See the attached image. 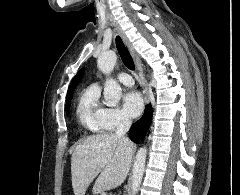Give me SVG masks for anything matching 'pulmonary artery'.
I'll use <instances>...</instances> for the list:
<instances>
[{
	"mask_svg": "<svg viewBox=\"0 0 240 195\" xmlns=\"http://www.w3.org/2000/svg\"><path fill=\"white\" fill-rule=\"evenodd\" d=\"M119 80L120 82L126 85H131L133 83V80L132 78H130V75H125L122 73L119 75Z\"/></svg>",
	"mask_w": 240,
	"mask_h": 195,
	"instance_id": "obj_1",
	"label": "pulmonary artery"
}]
</instances>
